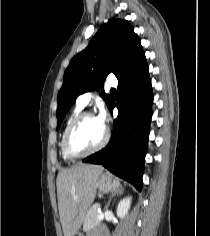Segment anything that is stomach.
<instances>
[{"mask_svg": "<svg viewBox=\"0 0 210 236\" xmlns=\"http://www.w3.org/2000/svg\"><path fill=\"white\" fill-rule=\"evenodd\" d=\"M98 189L101 193H109L120 187L119 181L110 174L101 173L97 181ZM80 236V235H77Z\"/></svg>", "mask_w": 210, "mask_h": 236, "instance_id": "obj_1", "label": "stomach"}]
</instances>
